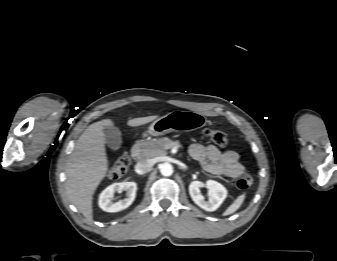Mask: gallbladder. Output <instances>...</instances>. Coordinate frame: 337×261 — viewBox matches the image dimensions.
Instances as JSON below:
<instances>
[{"label": "gallbladder", "mask_w": 337, "mask_h": 261, "mask_svg": "<svg viewBox=\"0 0 337 261\" xmlns=\"http://www.w3.org/2000/svg\"><path fill=\"white\" fill-rule=\"evenodd\" d=\"M103 131L107 145L113 150L119 149L122 145L120 130L114 126H106Z\"/></svg>", "instance_id": "gallbladder-1"}]
</instances>
